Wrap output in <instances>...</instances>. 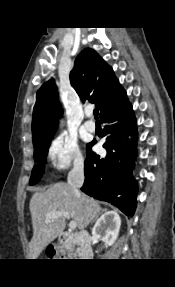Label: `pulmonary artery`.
Segmentation results:
<instances>
[{
  "label": "pulmonary artery",
  "mask_w": 175,
  "mask_h": 287,
  "mask_svg": "<svg viewBox=\"0 0 175 287\" xmlns=\"http://www.w3.org/2000/svg\"><path fill=\"white\" fill-rule=\"evenodd\" d=\"M86 116L87 120L85 121V128L90 132H94L96 130V124L91 120L92 111H87Z\"/></svg>",
  "instance_id": "pulmonary-artery-1"
}]
</instances>
